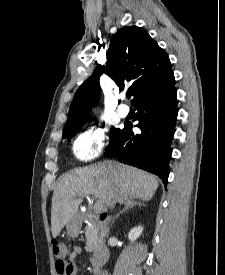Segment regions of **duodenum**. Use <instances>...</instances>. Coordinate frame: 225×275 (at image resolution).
<instances>
[{
	"instance_id": "410a0bca",
	"label": "duodenum",
	"mask_w": 225,
	"mask_h": 275,
	"mask_svg": "<svg viewBox=\"0 0 225 275\" xmlns=\"http://www.w3.org/2000/svg\"><path fill=\"white\" fill-rule=\"evenodd\" d=\"M97 227L96 232L99 235V237H105L108 234L107 224L104 219L101 218V216L97 219ZM109 258V250L108 248L103 245L101 242L98 243L96 253L92 257V263H93V269L95 272H98L101 270V268L104 266V264L107 262Z\"/></svg>"
}]
</instances>
